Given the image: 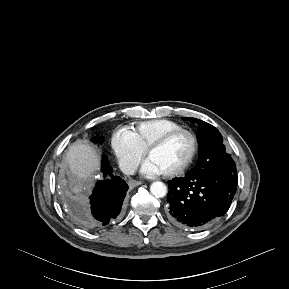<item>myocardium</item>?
Instances as JSON below:
<instances>
[{"label":"myocardium","instance_id":"f54148a6","mask_svg":"<svg viewBox=\"0 0 289 289\" xmlns=\"http://www.w3.org/2000/svg\"><path fill=\"white\" fill-rule=\"evenodd\" d=\"M179 135H187L190 137L191 141H192V150L191 153L189 155V157L187 158V160L178 168L167 172V173H162L164 177H175L178 175L183 174L194 162L197 153H198V149H199V140L198 137L196 136V134L190 130L187 129H177V130H173L167 134H165L164 136H162L161 138H159L158 140H156L153 144H151L149 146V148L146 151V156L149 159V157L151 156V154L159 149H161L162 147H164L165 145H167L171 140H173L175 137L179 136Z\"/></svg>","mask_w":289,"mask_h":289}]
</instances>
